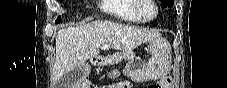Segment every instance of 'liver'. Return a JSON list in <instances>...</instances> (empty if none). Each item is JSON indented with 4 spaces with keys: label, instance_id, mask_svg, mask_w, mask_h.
Masks as SVG:
<instances>
[{
    "label": "liver",
    "instance_id": "6515ba94",
    "mask_svg": "<svg viewBox=\"0 0 227 88\" xmlns=\"http://www.w3.org/2000/svg\"><path fill=\"white\" fill-rule=\"evenodd\" d=\"M155 31L113 21H95L77 27L58 30L52 83L99 53L104 44L115 50L131 51L158 37Z\"/></svg>",
    "mask_w": 227,
    "mask_h": 88
}]
</instances>
